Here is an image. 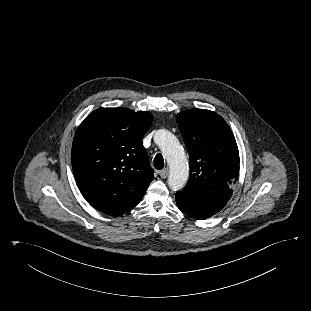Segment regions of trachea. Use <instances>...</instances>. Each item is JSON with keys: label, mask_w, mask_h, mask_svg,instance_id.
<instances>
[{"label": "trachea", "mask_w": 311, "mask_h": 311, "mask_svg": "<svg viewBox=\"0 0 311 311\" xmlns=\"http://www.w3.org/2000/svg\"><path fill=\"white\" fill-rule=\"evenodd\" d=\"M154 167L157 170H161L164 167V159L162 154L158 153L156 154L155 158H154Z\"/></svg>", "instance_id": "3493384b"}]
</instances>
